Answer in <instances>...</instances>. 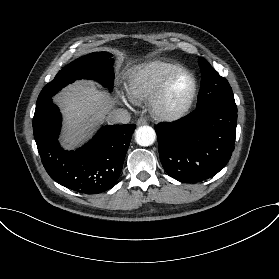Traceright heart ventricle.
I'll list each match as a JSON object with an SVG mask.
<instances>
[{
	"instance_id": "right-heart-ventricle-1",
	"label": "right heart ventricle",
	"mask_w": 279,
	"mask_h": 279,
	"mask_svg": "<svg viewBox=\"0 0 279 279\" xmlns=\"http://www.w3.org/2000/svg\"><path fill=\"white\" fill-rule=\"evenodd\" d=\"M180 63L155 60L135 67L129 74L127 91L140 100L151 99L164 80L179 70Z\"/></svg>"
}]
</instances>
